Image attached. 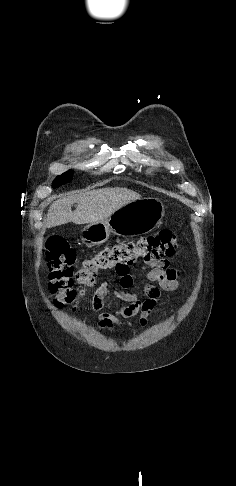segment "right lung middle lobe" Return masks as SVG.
I'll return each instance as SVG.
<instances>
[{"mask_svg": "<svg viewBox=\"0 0 236 486\" xmlns=\"http://www.w3.org/2000/svg\"><path fill=\"white\" fill-rule=\"evenodd\" d=\"M72 179V174L70 171L63 173L62 175L57 176L53 181V188H57L64 183L69 182Z\"/></svg>", "mask_w": 236, "mask_h": 486, "instance_id": "obj_1", "label": "right lung middle lobe"}]
</instances>
